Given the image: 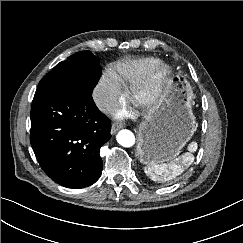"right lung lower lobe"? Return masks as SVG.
Listing matches in <instances>:
<instances>
[{
  "label": "right lung lower lobe",
  "mask_w": 243,
  "mask_h": 243,
  "mask_svg": "<svg viewBox=\"0 0 243 243\" xmlns=\"http://www.w3.org/2000/svg\"><path fill=\"white\" fill-rule=\"evenodd\" d=\"M92 91L37 88L31 106L30 142L36 158L53 181L68 188L99 179V150L111 138V122L96 107Z\"/></svg>",
  "instance_id": "98d812e1"
}]
</instances>
